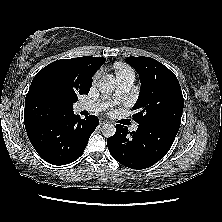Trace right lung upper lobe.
Masks as SVG:
<instances>
[{
    "label": "right lung upper lobe",
    "mask_w": 222,
    "mask_h": 222,
    "mask_svg": "<svg viewBox=\"0 0 222 222\" xmlns=\"http://www.w3.org/2000/svg\"><path fill=\"white\" fill-rule=\"evenodd\" d=\"M104 57L84 56L57 60L34 77L25 98L26 130L42 122L73 113L78 95L88 94L92 77L105 63Z\"/></svg>",
    "instance_id": "obj_1"
}]
</instances>
